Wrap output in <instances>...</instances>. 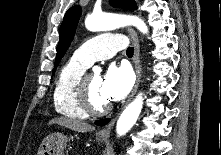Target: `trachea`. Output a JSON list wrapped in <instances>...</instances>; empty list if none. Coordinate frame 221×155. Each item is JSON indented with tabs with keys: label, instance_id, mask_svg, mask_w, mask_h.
<instances>
[{
	"label": "trachea",
	"instance_id": "trachea-1",
	"mask_svg": "<svg viewBox=\"0 0 221 155\" xmlns=\"http://www.w3.org/2000/svg\"><path fill=\"white\" fill-rule=\"evenodd\" d=\"M133 51H134L133 47H128L127 51H126L127 56L132 57L133 56Z\"/></svg>",
	"mask_w": 221,
	"mask_h": 155
}]
</instances>
